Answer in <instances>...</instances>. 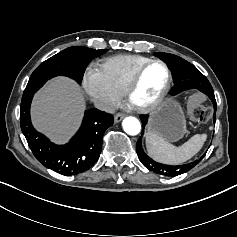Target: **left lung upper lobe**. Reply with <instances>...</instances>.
<instances>
[{"label":"left lung upper lobe","instance_id":"obj_1","mask_svg":"<svg viewBox=\"0 0 237 237\" xmlns=\"http://www.w3.org/2000/svg\"><path fill=\"white\" fill-rule=\"evenodd\" d=\"M155 55L166 62L169 68L172 70L175 83L171 91L172 95H177L189 89H197L205 94H207L209 91H213L208 79L191 63L173 54L158 52L155 53ZM140 118L143 123L142 128L144 129V125L147 123L148 116L144 115L140 116ZM136 151L139 160L147 169L157 174L166 176H178L191 170L205 156L204 154L199 160L188 164L171 166L157 163L147 156L141 147V139H139L136 143Z\"/></svg>","mask_w":237,"mask_h":237}]
</instances>
